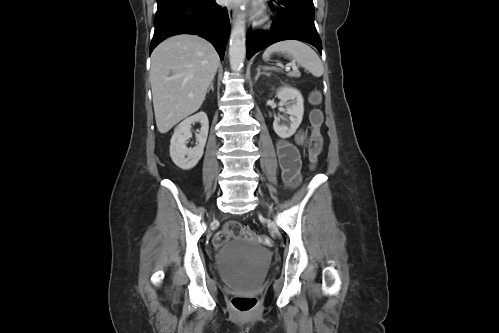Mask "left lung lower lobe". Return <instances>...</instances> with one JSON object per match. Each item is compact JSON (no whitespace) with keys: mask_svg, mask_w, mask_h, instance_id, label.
Listing matches in <instances>:
<instances>
[{"mask_svg":"<svg viewBox=\"0 0 499 333\" xmlns=\"http://www.w3.org/2000/svg\"><path fill=\"white\" fill-rule=\"evenodd\" d=\"M270 7L276 11L270 32L249 31L246 39L247 58L264 48L283 40H300L317 48L322 44L314 24L313 0H273Z\"/></svg>","mask_w":499,"mask_h":333,"instance_id":"left-lung-lower-lobe-1","label":"left lung lower lobe"}]
</instances>
